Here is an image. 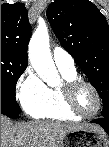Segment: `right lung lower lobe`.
<instances>
[{"mask_svg":"<svg viewBox=\"0 0 109 147\" xmlns=\"http://www.w3.org/2000/svg\"><path fill=\"white\" fill-rule=\"evenodd\" d=\"M1 114L6 115L11 118H19L20 117V114H16V113L12 112L8 107L3 105L2 103H1Z\"/></svg>","mask_w":109,"mask_h":147,"instance_id":"right-lung-lower-lobe-1","label":"right lung lower lobe"}]
</instances>
